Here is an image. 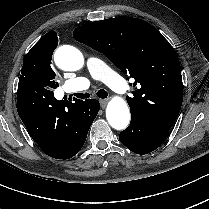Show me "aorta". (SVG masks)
I'll list each match as a JSON object with an SVG mask.
<instances>
[{"mask_svg":"<svg viewBox=\"0 0 209 209\" xmlns=\"http://www.w3.org/2000/svg\"><path fill=\"white\" fill-rule=\"evenodd\" d=\"M56 65L65 71H77L83 67L84 57L75 47L63 45L54 55ZM106 118L110 126L116 130L125 129L130 121L127 103L121 97H114L106 108Z\"/></svg>","mask_w":209,"mask_h":209,"instance_id":"1","label":"aorta"}]
</instances>
